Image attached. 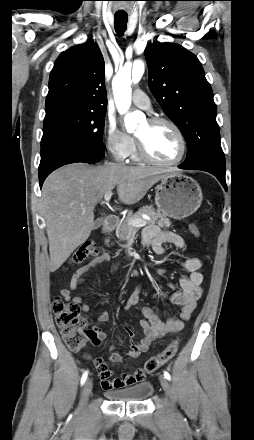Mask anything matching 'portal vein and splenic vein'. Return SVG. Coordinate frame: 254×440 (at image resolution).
Masks as SVG:
<instances>
[{
    "instance_id": "portal-vein-and-splenic-vein-1",
    "label": "portal vein and splenic vein",
    "mask_w": 254,
    "mask_h": 440,
    "mask_svg": "<svg viewBox=\"0 0 254 440\" xmlns=\"http://www.w3.org/2000/svg\"><path fill=\"white\" fill-rule=\"evenodd\" d=\"M112 195H113L112 191L105 193L104 200L106 203L110 201ZM128 223L129 225L134 227H144L147 225L146 221L143 219H130Z\"/></svg>"
}]
</instances>
